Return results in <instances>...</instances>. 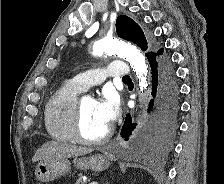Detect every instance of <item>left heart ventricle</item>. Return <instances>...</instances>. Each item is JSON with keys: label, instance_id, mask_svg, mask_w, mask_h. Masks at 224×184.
<instances>
[{"label": "left heart ventricle", "instance_id": "obj_1", "mask_svg": "<svg viewBox=\"0 0 224 184\" xmlns=\"http://www.w3.org/2000/svg\"><path fill=\"white\" fill-rule=\"evenodd\" d=\"M109 125L105 124L96 112V102L92 98L82 99V132L90 139L99 138L106 133Z\"/></svg>", "mask_w": 224, "mask_h": 184}]
</instances>
